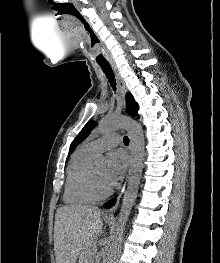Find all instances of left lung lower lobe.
<instances>
[{"label":"left lung lower lobe","instance_id":"obj_1","mask_svg":"<svg viewBox=\"0 0 220 263\" xmlns=\"http://www.w3.org/2000/svg\"><path fill=\"white\" fill-rule=\"evenodd\" d=\"M115 202V199H112L104 204L105 208H110Z\"/></svg>","mask_w":220,"mask_h":263}]
</instances>
